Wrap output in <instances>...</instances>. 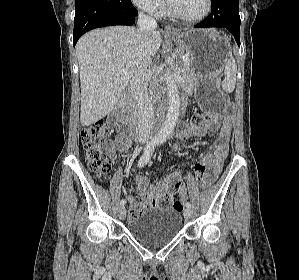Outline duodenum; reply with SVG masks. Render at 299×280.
Instances as JSON below:
<instances>
[{
  "label": "duodenum",
  "instance_id": "410a0bca",
  "mask_svg": "<svg viewBox=\"0 0 299 280\" xmlns=\"http://www.w3.org/2000/svg\"><path fill=\"white\" fill-rule=\"evenodd\" d=\"M132 95L130 92H125L116 107L118 128L120 132L129 135H138V128L133 121L132 114ZM163 118L162 111H160L152 122L151 129L155 131L158 129Z\"/></svg>",
  "mask_w": 299,
  "mask_h": 280
}]
</instances>
